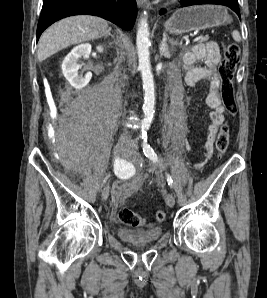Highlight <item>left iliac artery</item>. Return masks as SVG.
Masks as SVG:
<instances>
[{
  "label": "left iliac artery",
  "instance_id": "left-iliac-artery-1",
  "mask_svg": "<svg viewBox=\"0 0 267 298\" xmlns=\"http://www.w3.org/2000/svg\"><path fill=\"white\" fill-rule=\"evenodd\" d=\"M143 142H142V146H143V152L144 155L149 158L150 160H152L153 162H158V157L157 154L155 153V151L152 149V147L149 145L148 141H147V136H142ZM166 178H167V182L168 185L170 187L173 186V180L171 178V176L166 173Z\"/></svg>",
  "mask_w": 267,
  "mask_h": 298
}]
</instances>
